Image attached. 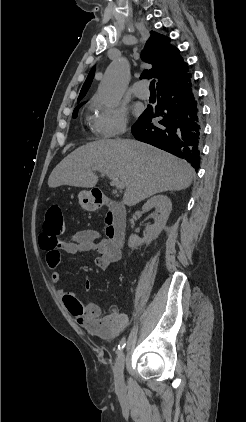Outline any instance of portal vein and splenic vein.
<instances>
[{"instance_id": "portal-vein-and-splenic-vein-1", "label": "portal vein and splenic vein", "mask_w": 246, "mask_h": 422, "mask_svg": "<svg viewBox=\"0 0 246 422\" xmlns=\"http://www.w3.org/2000/svg\"><path fill=\"white\" fill-rule=\"evenodd\" d=\"M101 175H107L110 180L112 181V184L115 185V187L118 190H123L125 188V185L122 181H120L116 176H114L113 174H111L109 171L107 170H100Z\"/></svg>"}]
</instances>
